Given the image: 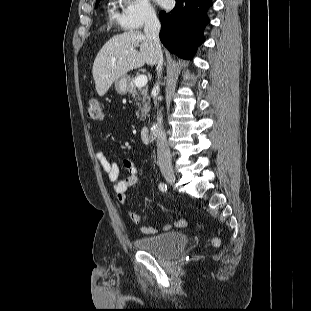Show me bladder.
<instances>
[{
	"instance_id": "bladder-1",
	"label": "bladder",
	"mask_w": 311,
	"mask_h": 311,
	"mask_svg": "<svg viewBox=\"0 0 311 311\" xmlns=\"http://www.w3.org/2000/svg\"><path fill=\"white\" fill-rule=\"evenodd\" d=\"M188 244V237L182 232H165L153 236H141L134 239L135 247L143 252H150L161 258H169L183 250Z\"/></svg>"
}]
</instances>
